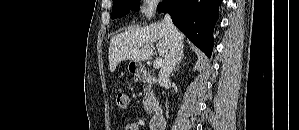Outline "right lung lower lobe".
Here are the masks:
<instances>
[{
  "label": "right lung lower lobe",
  "instance_id": "1",
  "mask_svg": "<svg viewBox=\"0 0 299 130\" xmlns=\"http://www.w3.org/2000/svg\"><path fill=\"white\" fill-rule=\"evenodd\" d=\"M222 0H163L158 6L168 12L172 21L208 57L213 49V29Z\"/></svg>",
  "mask_w": 299,
  "mask_h": 130
}]
</instances>
